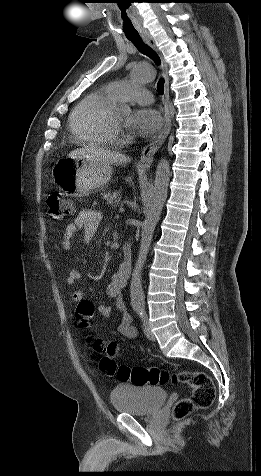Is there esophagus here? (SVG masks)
Listing matches in <instances>:
<instances>
[{
  "mask_svg": "<svg viewBox=\"0 0 261 476\" xmlns=\"http://www.w3.org/2000/svg\"><path fill=\"white\" fill-rule=\"evenodd\" d=\"M142 39L143 41L149 45L151 48H153L160 56L161 58V64H162V73L165 81V86H164V126L159 132V134L155 137V139L146 145L143 148L141 158L139 161V164L142 166H150L151 163L153 162L154 155L155 153L159 150V148L162 146L164 143L165 139L167 138L168 134L170 133L171 130V116L169 112V76H168V65L158 52V49L156 47L155 41L153 37L148 34H142Z\"/></svg>",
  "mask_w": 261,
  "mask_h": 476,
  "instance_id": "obj_1",
  "label": "esophagus"
}]
</instances>
